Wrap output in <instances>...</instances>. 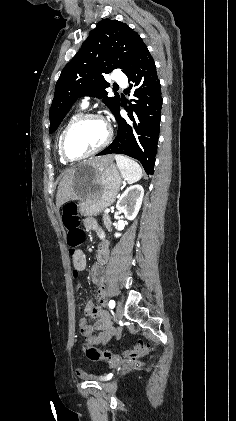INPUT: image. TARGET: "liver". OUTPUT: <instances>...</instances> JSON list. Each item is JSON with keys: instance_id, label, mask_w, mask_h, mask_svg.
<instances>
[{"instance_id": "1", "label": "liver", "mask_w": 236, "mask_h": 421, "mask_svg": "<svg viewBox=\"0 0 236 421\" xmlns=\"http://www.w3.org/2000/svg\"><path fill=\"white\" fill-rule=\"evenodd\" d=\"M116 154H107V156H94L88 162L96 164V166H108L115 158ZM76 198L75 190V168L66 170V174H63L56 194V208H60L61 204L67 202V200H73Z\"/></svg>"}]
</instances>
